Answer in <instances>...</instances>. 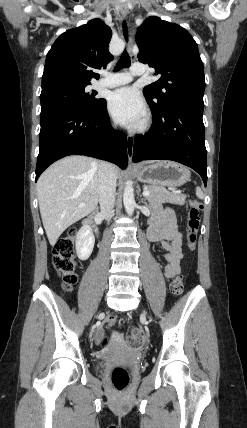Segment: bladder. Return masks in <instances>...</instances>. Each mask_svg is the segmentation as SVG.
<instances>
[{"label":"bladder","instance_id":"obj_1","mask_svg":"<svg viewBox=\"0 0 247 428\" xmlns=\"http://www.w3.org/2000/svg\"><path fill=\"white\" fill-rule=\"evenodd\" d=\"M96 369L100 371L102 369V364L100 362L97 363Z\"/></svg>","mask_w":247,"mask_h":428}]
</instances>
